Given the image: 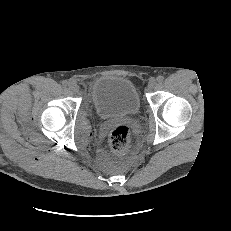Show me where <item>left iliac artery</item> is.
Listing matches in <instances>:
<instances>
[{"label": "left iliac artery", "instance_id": "1", "mask_svg": "<svg viewBox=\"0 0 231 231\" xmlns=\"http://www.w3.org/2000/svg\"><path fill=\"white\" fill-rule=\"evenodd\" d=\"M164 80V77L163 76H158L157 77V81L159 82V83H161L162 81Z\"/></svg>", "mask_w": 231, "mask_h": 231}]
</instances>
